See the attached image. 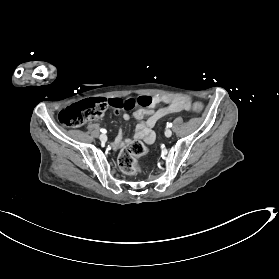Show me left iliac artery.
Listing matches in <instances>:
<instances>
[{
    "label": "left iliac artery",
    "instance_id": "obj_1",
    "mask_svg": "<svg viewBox=\"0 0 279 279\" xmlns=\"http://www.w3.org/2000/svg\"><path fill=\"white\" fill-rule=\"evenodd\" d=\"M167 127H172V123H167Z\"/></svg>",
    "mask_w": 279,
    "mask_h": 279
}]
</instances>
